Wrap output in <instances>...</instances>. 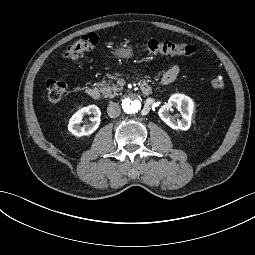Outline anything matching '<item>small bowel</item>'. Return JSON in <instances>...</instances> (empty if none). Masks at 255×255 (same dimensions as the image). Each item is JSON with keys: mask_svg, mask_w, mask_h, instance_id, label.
Segmentation results:
<instances>
[{"mask_svg": "<svg viewBox=\"0 0 255 255\" xmlns=\"http://www.w3.org/2000/svg\"><path fill=\"white\" fill-rule=\"evenodd\" d=\"M179 73V67L176 64L168 65L165 72L160 78V83L162 85H168L175 81Z\"/></svg>", "mask_w": 255, "mask_h": 255, "instance_id": "c3829d8e", "label": "small bowel"}]
</instances>
